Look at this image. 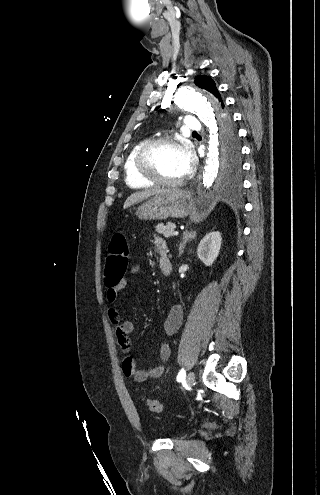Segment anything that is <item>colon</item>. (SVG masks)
<instances>
[{
    "label": "colon",
    "instance_id": "5ec220e1",
    "mask_svg": "<svg viewBox=\"0 0 320 495\" xmlns=\"http://www.w3.org/2000/svg\"><path fill=\"white\" fill-rule=\"evenodd\" d=\"M129 262V250L124 234L118 232L112 237L106 258L104 276L108 284H117L127 269ZM148 409L153 413L162 411V404L155 399L144 398Z\"/></svg>",
    "mask_w": 320,
    "mask_h": 495
}]
</instances>
